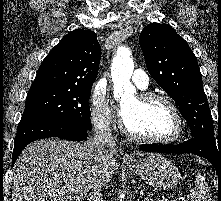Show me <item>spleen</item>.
<instances>
[{"label":"spleen","mask_w":221,"mask_h":201,"mask_svg":"<svg viewBox=\"0 0 221 201\" xmlns=\"http://www.w3.org/2000/svg\"><path fill=\"white\" fill-rule=\"evenodd\" d=\"M188 201H211L210 188L203 176L196 173L195 187L187 196Z\"/></svg>","instance_id":"1"}]
</instances>
